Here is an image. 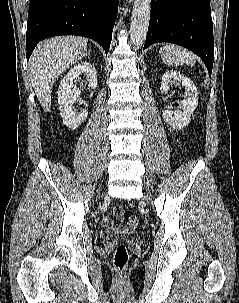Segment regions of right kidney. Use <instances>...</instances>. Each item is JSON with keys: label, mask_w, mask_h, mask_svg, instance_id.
I'll return each instance as SVG.
<instances>
[{"label": "right kidney", "mask_w": 239, "mask_h": 303, "mask_svg": "<svg viewBox=\"0 0 239 303\" xmlns=\"http://www.w3.org/2000/svg\"><path fill=\"white\" fill-rule=\"evenodd\" d=\"M84 74L90 88L97 87V75L95 67L89 62L80 63L69 70L62 79L58 89V104L60 115L64 124L75 130L87 118L88 112L82 111L79 114L73 110V104L79 97V90L74 86L73 81L79 75Z\"/></svg>", "instance_id": "right-kidney-1"}]
</instances>
